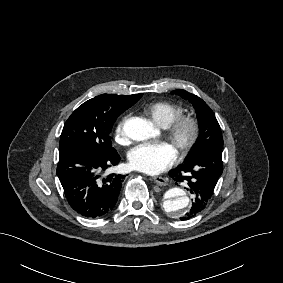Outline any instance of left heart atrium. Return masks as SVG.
I'll list each match as a JSON object with an SVG mask.
<instances>
[{"mask_svg": "<svg viewBox=\"0 0 283 283\" xmlns=\"http://www.w3.org/2000/svg\"><path fill=\"white\" fill-rule=\"evenodd\" d=\"M127 158L132 169L156 175L170 168L177 161L178 153L167 142L143 143L132 148Z\"/></svg>", "mask_w": 283, "mask_h": 283, "instance_id": "left-heart-atrium-1", "label": "left heart atrium"}]
</instances>
